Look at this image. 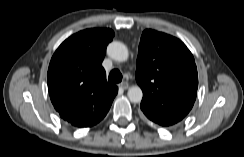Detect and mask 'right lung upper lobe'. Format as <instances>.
Returning a JSON list of instances; mask_svg holds the SVG:
<instances>
[{
	"label": "right lung upper lobe",
	"mask_w": 244,
	"mask_h": 157,
	"mask_svg": "<svg viewBox=\"0 0 244 157\" xmlns=\"http://www.w3.org/2000/svg\"><path fill=\"white\" fill-rule=\"evenodd\" d=\"M114 32L108 28L80 31L54 53L48 69L51 102L61 118L75 127L100 122L118 92L106 81L101 63Z\"/></svg>",
	"instance_id": "obj_1"
}]
</instances>
